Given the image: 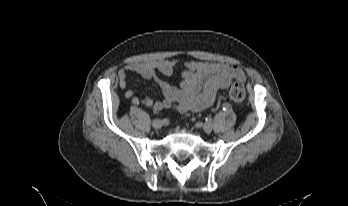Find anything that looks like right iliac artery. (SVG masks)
<instances>
[{"label":"right iliac artery","instance_id":"right-iliac-artery-1","mask_svg":"<svg viewBox=\"0 0 348 206\" xmlns=\"http://www.w3.org/2000/svg\"><path fill=\"white\" fill-rule=\"evenodd\" d=\"M132 102L135 106H140V101L137 99V97H132Z\"/></svg>","mask_w":348,"mask_h":206}]
</instances>
